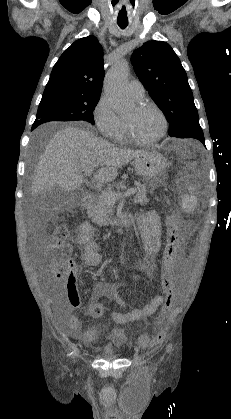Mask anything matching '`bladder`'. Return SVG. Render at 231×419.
Segmentation results:
<instances>
[{
	"label": "bladder",
	"instance_id": "1",
	"mask_svg": "<svg viewBox=\"0 0 231 419\" xmlns=\"http://www.w3.org/2000/svg\"><path fill=\"white\" fill-rule=\"evenodd\" d=\"M101 355L106 359H115L118 357L119 351L114 345L110 344L102 349Z\"/></svg>",
	"mask_w": 231,
	"mask_h": 419
}]
</instances>
